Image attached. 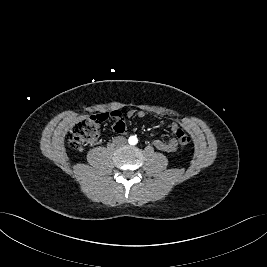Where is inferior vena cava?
Segmentation results:
<instances>
[{
	"mask_svg": "<svg viewBox=\"0 0 267 267\" xmlns=\"http://www.w3.org/2000/svg\"><path fill=\"white\" fill-rule=\"evenodd\" d=\"M117 143L122 145L126 143V138L125 137H117Z\"/></svg>",
	"mask_w": 267,
	"mask_h": 267,
	"instance_id": "602c4592",
	"label": "inferior vena cava"
}]
</instances>
